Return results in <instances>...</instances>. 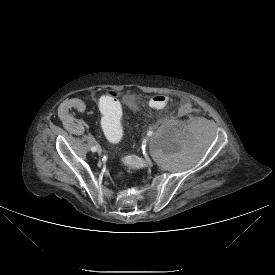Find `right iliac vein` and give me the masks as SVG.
<instances>
[{"mask_svg":"<svg viewBox=\"0 0 275 275\" xmlns=\"http://www.w3.org/2000/svg\"><path fill=\"white\" fill-rule=\"evenodd\" d=\"M97 152L99 153V154H101L102 153V150H101V148H97Z\"/></svg>","mask_w":275,"mask_h":275,"instance_id":"1","label":"right iliac vein"}]
</instances>
